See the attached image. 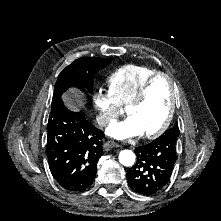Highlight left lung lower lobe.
Listing matches in <instances>:
<instances>
[{"label":"left lung lower lobe","mask_w":221,"mask_h":221,"mask_svg":"<svg viewBox=\"0 0 221 221\" xmlns=\"http://www.w3.org/2000/svg\"><path fill=\"white\" fill-rule=\"evenodd\" d=\"M136 164L127 170V181L133 191L152 195L170 180L177 159V140L160 136L135 149Z\"/></svg>","instance_id":"0a47b994"}]
</instances>
